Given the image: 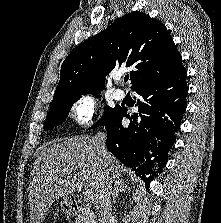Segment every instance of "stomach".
I'll use <instances>...</instances> for the list:
<instances>
[{
  "label": "stomach",
  "instance_id": "stomach-1",
  "mask_svg": "<svg viewBox=\"0 0 221 223\" xmlns=\"http://www.w3.org/2000/svg\"><path fill=\"white\" fill-rule=\"evenodd\" d=\"M61 209L63 212L70 214L72 211V202L70 197L65 196L61 201Z\"/></svg>",
  "mask_w": 221,
  "mask_h": 223
}]
</instances>
